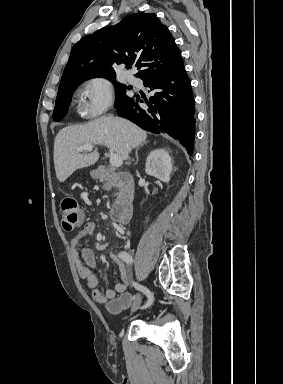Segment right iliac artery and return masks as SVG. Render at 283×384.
Instances as JSON below:
<instances>
[{
  "mask_svg": "<svg viewBox=\"0 0 283 384\" xmlns=\"http://www.w3.org/2000/svg\"><path fill=\"white\" fill-rule=\"evenodd\" d=\"M118 257L127 264H131L133 262L132 257L126 252L118 253ZM133 286L135 289L143 292L148 298V301L140 308L145 309L149 307L153 303V294L151 293V291L148 288L138 284L137 282H133Z\"/></svg>",
  "mask_w": 283,
  "mask_h": 384,
  "instance_id": "82829eb1",
  "label": "right iliac artery"
}]
</instances>
